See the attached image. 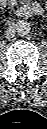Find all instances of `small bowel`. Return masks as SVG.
I'll use <instances>...</instances> for the list:
<instances>
[{
    "mask_svg": "<svg viewBox=\"0 0 47 129\" xmlns=\"http://www.w3.org/2000/svg\"><path fill=\"white\" fill-rule=\"evenodd\" d=\"M4 5L12 6L17 3V0H2Z\"/></svg>",
    "mask_w": 47,
    "mask_h": 129,
    "instance_id": "c3829d8e",
    "label": "small bowel"
}]
</instances>
